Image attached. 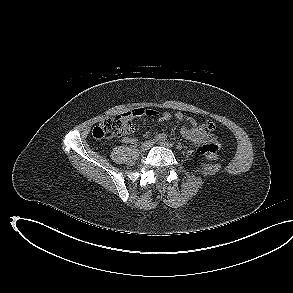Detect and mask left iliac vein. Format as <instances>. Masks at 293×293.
I'll list each match as a JSON object with an SVG mask.
<instances>
[{"mask_svg":"<svg viewBox=\"0 0 293 293\" xmlns=\"http://www.w3.org/2000/svg\"><path fill=\"white\" fill-rule=\"evenodd\" d=\"M159 145L165 147V148H172V144H170L169 142H166V141H160L159 142Z\"/></svg>","mask_w":293,"mask_h":293,"instance_id":"obj_1","label":"left iliac vein"}]
</instances>
